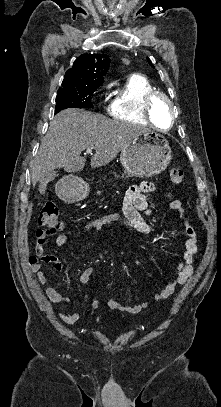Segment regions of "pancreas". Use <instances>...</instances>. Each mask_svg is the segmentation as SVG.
<instances>
[{"mask_svg":"<svg viewBox=\"0 0 221 407\" xmlns=\"http://www.w3.org/2000/svg\"><path fill=\"white\" fill-rule=\"evenodd\" d=\"M101 192L100 191H97V194H100Z\"/></svg>","mask_w":221,"mask_h":407,"instance_id":"pancreas-1","label":"pancreas"}]
</instances>
